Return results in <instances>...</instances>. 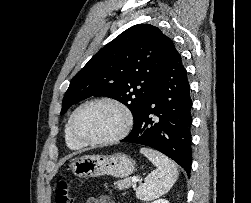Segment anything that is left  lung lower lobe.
I'll return each mask as SVG.
<instances>
[{
	"instance_id": "1",
	"label": "left lung lower lobe",
	"mask_w": 251,
	"mask_h": 203,
	"mask_svg": "<svg viewBox=\"0 0 251 203\" xmlns=\"http://www.w3.org/2000/svg\"><path fill=\"white\" fill-rule=\"evenodd\" d=\"M191 126L192 99L187 71L174 47L131 133L121 141L152 147L190 175Z\"/></svg>"
}]
</instances>
